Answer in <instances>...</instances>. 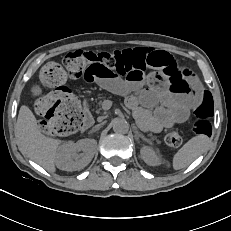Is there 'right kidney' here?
<instances>
[{
	"mask_svg": "<svg viewBox=\"0 0 231 231\" xmlns=\"http://www.w3.org/2000/svg\"><path fill=\"white\" fill-rule=\"evenodd\" d=\"M97 142L94 139H82L63 144L56 158V165L59 169L65 171H76L86 167L92 160ZM82 151V153H79Z\"/></svg>",
	"mask_w": 231,
	"mask_h": 231,
	"instance_id": "1",
	"label": "right kidney"
}]
</instances>
